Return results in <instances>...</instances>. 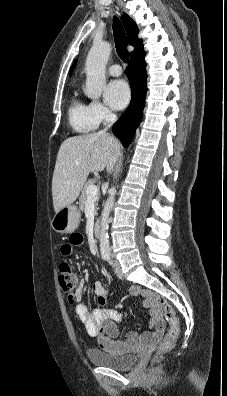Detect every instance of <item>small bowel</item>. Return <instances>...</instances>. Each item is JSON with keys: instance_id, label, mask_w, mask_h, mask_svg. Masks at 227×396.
I'll use <instances>...</instances> for the list:
<instances>
[{"instance_id": "obj_1", "label": "small bowel", "mask_w": 227, "mask_h": 396, "mask_svg": "<svg viewBox=\"0 0 227 396\" xmlns=\"http://www.w3.org/2000/svg\"><path fill=\"white\" fill-rule=\"evenodd\" d=\"M83 241L80 234L71 235L69 241L65 243L62 248L63 255H70L74 249L79 246ZM85 288V283L80 280L77 285L75 300L77 305L75 313L77 317L84 323L87 333L98 339L99 346L102 350L112 352L123 348L126 345L146 344L153 345L160 340L164 333V322L157 305L150 298L151 292L144 290L138 286H132L129 293L134 296L143 297V305L149 310L151 330L139 334L131 331L126 334L124 341L117 340L118 328L116 322L121 318L120 313L115 309L109 308H96L91 311L87 305L81 303ZM94 293L97 296L98 302L101 305L106 303L108 291L105 285L96 281L93 284Z\"/></svg>"}]
</instances>
